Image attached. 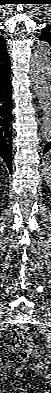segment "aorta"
I'll return each instance as SVG.
<instances>
[{
    "mask_svg": "<svg viewBox=\"0 0 51 393\" xmlns=\"http://www.w3.org/2000/svg\"><path fill=\"white\" fill-rule=\"evenodd\" d=\"M31 80L44 112L42 135L49 140L51 138V48L47 42L35 46L31 58Z\"/></svg>",
    "mask_w": 51,
    "mask_h": 393,
    "instance_id": "762f6f07",
    "label": "aorta"
}]
</instances>
